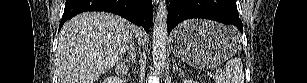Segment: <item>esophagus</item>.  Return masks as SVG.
<instances>
[{"label":"esophagus","instance_id":"1","mask_svg":"<svg viewBox=\"0 0 307 83\" xmlns=\"http://www.w3.org/2000/svg\"><path fill=\"white\" fill-rule=\"evenodd\" d=\"M159 0H153L154 5L156 6L158 4Z\"/></svg>","mask_w":307,"mask_h":83}]
</instances>
